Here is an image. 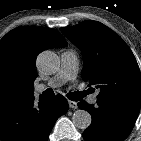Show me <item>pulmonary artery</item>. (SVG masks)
<instances>
[{"label":"pulmonary artery","instance_id":"obj_1","mask_svg":"<svg viewBox=\"0 0 141 141\" xmlns=\"http://www.w3.org/2000/svg\"><path fill=\"white\" fill-rule=\"evenodd\" d=\"M79 67L78 57L72 50L61 53V66L57 74L52 77L46 84H39L35 87L36 92H42L46 88L60 87L68 81L74 80L77 76ZM98 92L89 97L90 103H96Z\"/></svg>","mask_w":141,"mask_h":141}]
</instances>
